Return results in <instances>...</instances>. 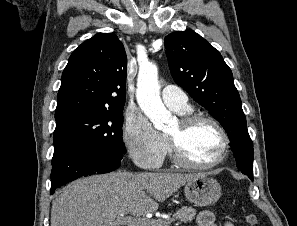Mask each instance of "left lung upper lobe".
Wrapping results in <instances>:
<instances>
[{"instance_id":"1","label":"left lung upper lobe","mask_w":297,"mask_h":226,"mask_svg":"<svg viewBox=\"0 0 297 226\" xmlns=\"http://www.w3.org/2000/svg\"><path fill=\"white\" fill-rule=\"evenodd\" d=\"M164 42L174 81L221 123L239 170L253 173V143L232 72L221 54L191 29L171 33Z\"/></svg>"}]
</instances>
